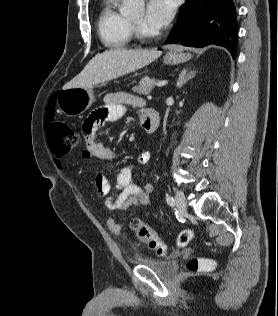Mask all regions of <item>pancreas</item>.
I'll return each mask as SVG.
<instances>
[{
  "instance_id": "obj_1",
  "label": "pancreas",
  "mask_w": 278,
  "mask_h": 316,
  "mask_svg": "<svg viewBox=\"0 0 278 316\" xmlns=\"http://www.w3.org/2000/svg\"><path fill=\"white\" fill-rule=\"evenodd\" d=\"M156 83L157 81L155 79L145 77L140 81L139 85L136 86L133 90L138 94L148 95L149 93H151Z\"/></svg>"
}]
</instances>
